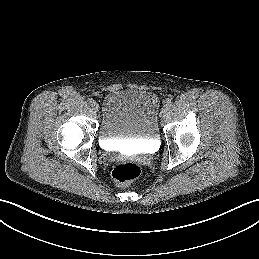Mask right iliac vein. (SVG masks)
<instances>
[{
    "label": "right iliac vein",
    "mask_w": 259,
    "mask_h": 259,
    "mask_svg": "<svg viewBox=\"0 0 259 259\" xmlns=\"http://www.w3.org/2000/svg\"><path fill=\"white\" fill-rule=\"evenodd\" d=\"M92 108H93V110H94L95 112H97V111L99 110V104L96 103V102H94V103L92 104Z\"/></svg>",
    "instance_id": "1"
}]
</instances>
